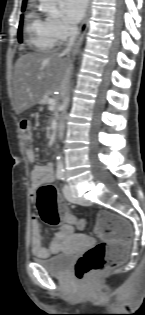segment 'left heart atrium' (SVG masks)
<instances>
[{"mask_svg": "<svg viewBox=\"0 0 145 315\" xmlns=\"http://www.w3.org/2000/svg\"><path fill=\"white\" fill-rule=\"evenodd\" d=\"M88 0H61V7L66 19L72 23H78L84 13Z\"/></svg>", "mask_w": 145, "mask_h": 315, "instance_id": "left-heart-atrium-1", "label": "left heart atrium"}]
</instances>
